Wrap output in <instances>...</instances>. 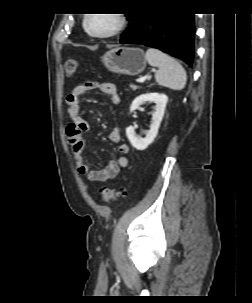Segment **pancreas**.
<instances>
[{"label": "pancreas", "instance_id": "cf45deb5", "mask_svg": "<svg viewBox=\"0 0 252 303\" xmlns=\"http://www.w3.org/2000/svg\"><path fill=\"white\" fill-rule=\"evenodd\" d=\"M130 88H131L132 90H136L138 87L135 86V85H133V84H130Z\"/></svg>", "mask_w": 252, "mask_h": 303}]
</instances>
